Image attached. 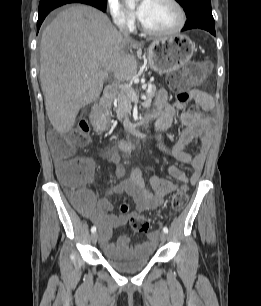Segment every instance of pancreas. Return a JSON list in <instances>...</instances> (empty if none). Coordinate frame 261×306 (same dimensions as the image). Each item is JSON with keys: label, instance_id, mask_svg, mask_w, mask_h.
<instances>
[{"label": "pancreas", "instance_id": "obj_1", "mask_svg": "<svg viewBox=\"0 0 261 306\" xmlns=\"http://www.w3.org/2000/svg\"><path fill=\"white\" fill-rule=\"evenodd\" d=\"M148 88H149V91L146 93V98L152 99L156 95L157 88L152 83L148 84ZM134 93H135V96L137 97L136 91H134ZM135 96H133L132 94L124 90H121L118 93V96H117L118 107L116 109V115L119 120L128 118V116L131 113L132 102L136 101Z\"/></svg>", "mask_w": 261, "mask_h": 306}]
</instances>
